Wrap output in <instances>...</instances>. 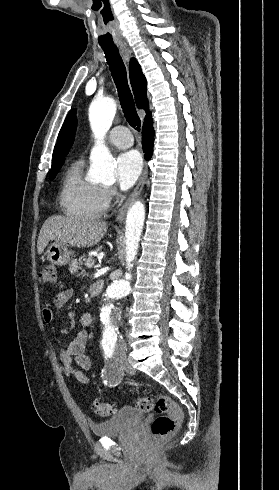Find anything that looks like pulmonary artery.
I'll list each match as a JSON object with an SVG mask.
<instances>
[{"label": "pulmonary artery", "mask_w": 279, "mask_h": 490, "mask_svg": "<svg viewBox=\"0 0 279 490\" xmlns=\"http://www.w3.org/2000/svg\"><path fill=\"white\" fill-rule=\"evenodd\" d=\"M129 131L124 126L115 127L110 134L109 141L112 145L119 149H127L133 146V137H127Z\"/></svg>", "instance_id": "1"}]
</instances>
